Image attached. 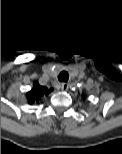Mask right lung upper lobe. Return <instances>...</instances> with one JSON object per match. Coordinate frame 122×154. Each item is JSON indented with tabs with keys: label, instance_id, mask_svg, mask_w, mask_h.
<instances>
[{
	"label": "right lung upper lobe",
	"instance_id": "1",
	"mask_svg": "<svg viewBox=\"0 0 122 154\" xmlns=\"http://www.w3.org/2000/svg\"><path fill=\"white\" fill-rule=\"evenodd\" d=\"M52 91V89L48 90L46 87L40 86L38 82H34V87L32 88L31 91L28 92L27 96L29 99V102H36L38 103L40 98L44 94H48Z\"/></svg>",
	"mask_w": 122,
	"mask_h": 154
}]
</instances>
